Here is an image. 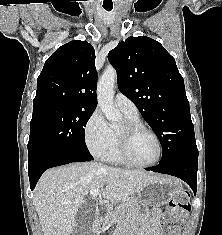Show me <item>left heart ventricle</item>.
Returning a JSON list of instances; mask_svg holds the SVG:
<instances>
[{
	"label": "left heart ventricle",
	"instance_id": "b2bd125f",
	"mask_svg": "<svg viewBox=\"0 0 222 235\" xmlns=\"http://www.w3.org/2000/svg\"><path fill=\"white\" fill-rule=\"evenodd\" d=\"M124 125L119 129L122 130ZM132 158L139 163H149L158 156V144L155 138L147 132L136 134L130 145Z\"/></svg>",
	"mask_w": 222,
	"mask_h": 235
}]
</instances>
